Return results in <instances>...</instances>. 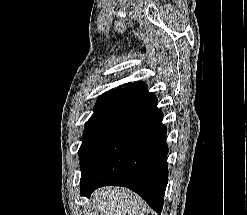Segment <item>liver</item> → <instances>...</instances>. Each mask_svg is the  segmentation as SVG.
Segmentation results:
<instances>
[{
	"mask_svg": "<svg viewBox=\"0 0 247 215\" xmlns=\"http://www.w3.org/2000/svg\"><path fill=\"white\" fill-rule=\"evenodd\" d=\"M92 198L101 215H145L148 211L145 202L127 189L103 187Z\"/></svg>",
	"mask_w": 247,
	"mask_h": 215,
	"instance_id": "6515ba94",
	"label": "liver"
}]
</instances>
